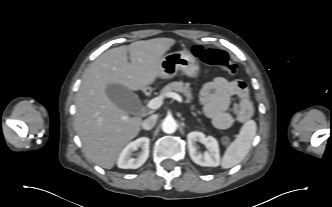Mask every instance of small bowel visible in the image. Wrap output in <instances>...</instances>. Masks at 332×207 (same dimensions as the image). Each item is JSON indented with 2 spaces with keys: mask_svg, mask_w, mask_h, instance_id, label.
I'll return each mask as SVG.
<instances>
[{
  "mask_svg": "<svg viewBox=\"0 0 332 207\" xmlns=\"http://www.w3.org/2000/svg\"><path fill=\"white\" fill-rule=\"evenodd\" d=\"M232 97L237 101L233 103ZM199 103L205 116L218 129H227L235 122H246L254 111L247 84L223 77H216L204 86L199 94Z\"/></svg>",
  "mask_w": 332,
  "mask_h": 207,
  "instance_id": "small-bowel-1",
  "label": "small bowel"
}]
</instances>
